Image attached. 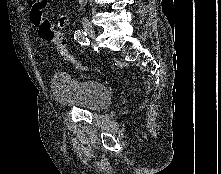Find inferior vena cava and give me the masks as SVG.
I'll return each instance as SVG.
<instances>
[{"mask_svg": "<svg viewBox=\"0 0 221 174\" xmlns=\"http://www.w3.org/2000/svg\"><path fill=\"white\" fill-rule=\"evenodd\" d=\"M78 1H79L80 6H81V9H82L84 0H78Z\"/></svg>", "mask_w": 221, "mask_h": 174, "instance_id": "1", "label": "inferior vena cava"}]
</instances>
